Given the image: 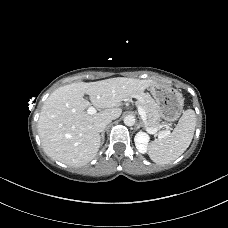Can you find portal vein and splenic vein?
<instances>
[{"instance_id":"1","label":"portal vein and splenic vein","mask_w":228,"mask_h":228,"mask_svg":"<svg viewBox=\"0 0 228 228\" xmlns=\"http://www.w3.org/2000/svg\"><path fill=\"white\" fill-rule=\"evenodd\" d=\"M87 113L90 114V115L95 114L96 113V109L93 108V107H89L88 110H87ZM138 113L141 116V119L146 123V113H145L144 109L141 106H138ZM165 127L168 128V125H165ZM148 132L151 133V134H154V133L157 132V129H150L149 128ZM168 133H169V131H167L166 133H160L159 137L162 138Z\"/></svg>"}]
</instances>
